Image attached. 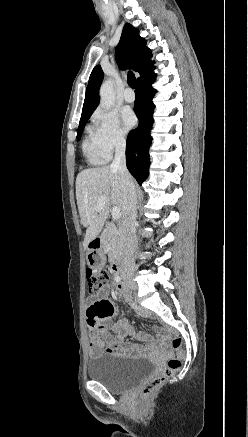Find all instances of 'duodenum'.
Wrapping results in <instances>:
<instances>
[{
	"label": "duodenum",
	"mask_w": 248,
	"mask_h": 437,
	"mask_svg": "<svg viewBox=\"0 0 248 437\" xmlns=\"http://www.w3.org/2000/svg\"><path fill=\"white\" fill-rule=\"evenodd\" d=\"M102 239L101 237H95L89 242V246L87 247V250L90 253H93L94 251H97L101 248ZM122 269V260L120 258H117L112 263V270L114 273L118 274Z\"/></svg>",
	"instance_id": "obj_1"
}]
</instances>
